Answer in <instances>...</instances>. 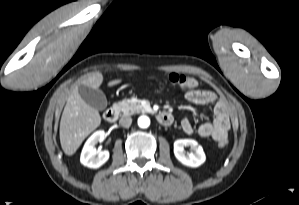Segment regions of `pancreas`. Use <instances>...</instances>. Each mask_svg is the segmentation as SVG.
<instances>
[{
    "label": "pancreas",
    "instance_id": "cf45deb5",
    "mask_svg": "<svg viewBox=\"0 0 299 205\" xmlns=\"http://www.w3.org/2000/svg\"><path fill=\"white\" fill-rule=\"evenodd\" d=\"M114 108L121 111L124 115H133L144 112L140 104L133 100H122L114 104Z\"/></svg>",
    "mask_w": 299,
    "mask_h": 205
}]
</instances>
